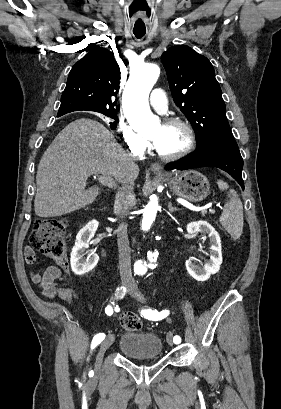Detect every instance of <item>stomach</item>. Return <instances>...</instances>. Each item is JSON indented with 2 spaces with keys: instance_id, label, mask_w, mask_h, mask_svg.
Returning <instances> with one entry per match:
<instances>
[{
  "instance_id": "1",
  "label": "stomach",
  "mask_w": 281,
  "mask_h": 409,
  "mask_svg": "<svg viewBox=\"0 0 281 409\" xmlns=\"http://www.w3.org/2000/svg\"><path fill=\"white\" fill-rule=\"evenodd\" d=\"M175 174V176H173ZM167 184H169L172 192L187 198L191 202H199L204 200L210 192V184L208 178L198 172V170H182V172H171L167 178L163 176Z\"/></svg>"
}]
</instances>
